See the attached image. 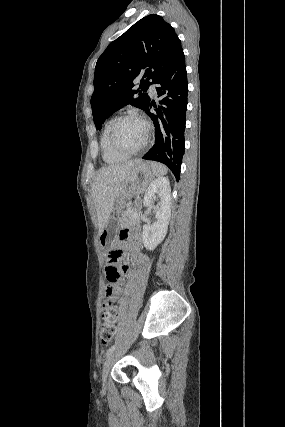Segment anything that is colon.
Here are the masks:
<instances>
[{"label": "colon", "mask_w": 285, "mask_h": 427, "mask_svg": "<svg viewBox=\"0 0 285 427\" xmlns=\"http://www.w3.org/2000/svg\"><path fill=\"white\" fill-rule=\"evenodd\" d=\"M121 259V252L118 249L111 250L107 255L108 265L105 268V275L107 279L108 289L106 291L107 297L103 301V325L100 331V339L103 343L111 341L115 334L114 322L117 317V309L114 300L110 298V287L118 286L121 282V270L117 266Z\"/></svg>", "instance_id": "1"}]
</instances>
